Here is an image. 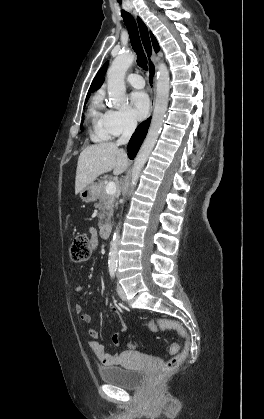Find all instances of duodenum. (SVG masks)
I'll return each mask as SVG.
<instances>
[{
	"instance_id": "duodenum-1",
	"label": "duodenum",
	"mask_w": 264,
	"mask_h": 419,
	"mask_svg": "<svg viewBox=\"0 0 264 419\" xmlns=\"http://www.w3.org/2000/svg\"><path fill=\"white\" fill-rule=\"evenodd\" d=\"M111 232H112V225L110 223H105L102 225L100 233L103 238L105 239L109 238V236L111 235Z\"/></svg>"
}]
</instances>
